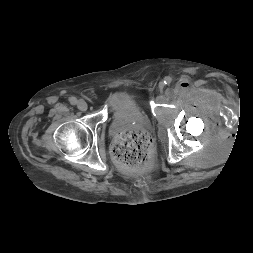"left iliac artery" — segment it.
<instances>
[{
  "label": "left iliac artery",
  "instance_id": "obj_1",
  "mask_svg": "<svg viewBox=\"0 0 253 253\" xmlns=\"http://www.w3.org/2000/svg\"><path fill=\"white\" fill-rule=\"evenodd\" d=\"M171 82H172V78L170 76H167V77L164 78V83L166 85H169Z\"/></svg>",
  "mask_w": 253,
  "mask_h": 253
}]
</instances>
